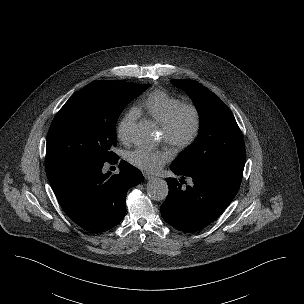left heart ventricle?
Returning <instances> with one entry per match:
<instances>
[{
  "label": "left heart ventricle",
  "mask_w": 304,
  "mask_h": 304,
  "mask_svg": "<svg viewBox=\"0 0 304 304\" xmlns=\"http://www.w3.org/2000/svg\"><path fill=\"white\" fill-rule=\"evenodd\" d=\"M190 127H191V119L189 116H185L179 125V129H178L179 135L180 136L186 135L189 132ZM162 138H163V135H162Z\"/></svg>",
  "instance_id": "left-heart-ventricle-1"
}]
</instances>
